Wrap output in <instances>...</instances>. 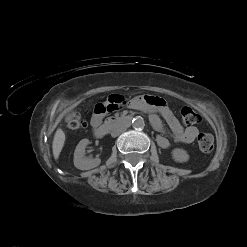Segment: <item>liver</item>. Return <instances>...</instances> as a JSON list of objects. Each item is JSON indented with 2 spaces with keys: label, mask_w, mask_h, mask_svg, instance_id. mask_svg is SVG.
Segmentation results:
<instances>
[{
  "label": "liver",
  "mask_w": 247,
  "mask_h": 247,
  "mask_svg": "<svg viewBox=\"0 0 247 247\" xmlns=\"http://www.w3.org/2000/svg\"><path fill=\"white\" fill-rule=\"evenodd\" d=\"M64 143H65V133L61 128H58L55 132L52 143L53 156L55 159L59 158Z\"/></svg>",
  "instance_id": "6515ba94"
}]
</instances>
